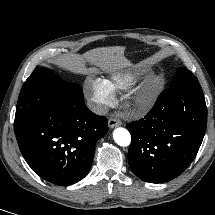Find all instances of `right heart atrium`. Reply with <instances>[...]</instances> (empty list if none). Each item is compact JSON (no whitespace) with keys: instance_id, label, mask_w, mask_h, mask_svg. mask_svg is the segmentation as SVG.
Segmentation results:
<instances>
[{"instance_id":"1","label":"right heart atrium","mask_w":215,"mask_h":215,"mask_svg":"<svg viewBox=\"0 0 215 215\" xmlns=\"http://www.w3.org/2000/svg\"><path fill=\"white\" fill-rule=\"evenodd\" d=\"M85 87L92 105V109L96 113H103L113 104V92L109 89L103 79L89 78L86 81Z\"/></svg>"}]
</instances>
